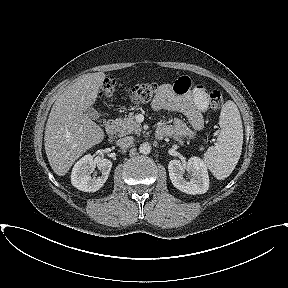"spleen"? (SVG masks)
I'll return each instance as SVG.
<instances>
[{
	"instance_id": "3e777b00",
	"label": "spleen",
	"mask_w": 288,
	"mask_h": 288,
	"mask_svg": "<svg viewBox=\"0 0 288 288\" xmlns=\"http://www.w3.org/2000/svg\"><path fill=\"white\" fill-rule=\"evenodd\" d=\"M219 125L217 142L205 152L204 162L217 179L224 180L235 169L243 145L242 120L232 101L222 106Z\"/></svg>"
}]
</instances>
